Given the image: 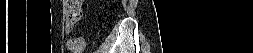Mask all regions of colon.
Wrapping results in <instances>:
<instances>
[{
	"instance_id": "1",
	"label": "colon",
	"mask_w": 253,
	"mask_h": 53,
	"mask_svg": "<svg viewBox=\"0 0 253 53\" xmlns=\"http://www.w3.org/2000/svg\"><path fill=\"white\" fill-rule=\"evenodd\" d=\"M67 2L69 4V6L67 8V21L70 24L75 25L81 17V9L77 5L78 1L69 0Z\"/></svg>"
}]
</instances>
